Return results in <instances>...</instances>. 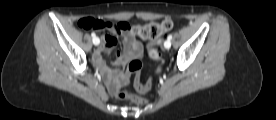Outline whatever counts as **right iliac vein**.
<instances>
[{
    "mask_svg": "<svg viewBox=\"0 0 276 120\" xmlns=\"http://www.w3.org/2000/svg\"><path fill=\"white\" fill-rule=\"evenodd\" d=\"M95 45L97 46V45H99V43H97L98 42V38L96 37V39H95Z\"/></svg>",
    "mask_w": 276,
    "mask_h": 120,
    "instance_id": "obj_1",
    "label": "right iliac vein"
}]
</instances>
